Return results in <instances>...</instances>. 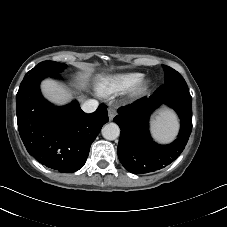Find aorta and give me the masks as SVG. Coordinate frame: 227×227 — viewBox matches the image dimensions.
Segmentation results:
<instances>
[{
  "mask_svg": "<svg viewBox=\"0 0 227 227\" xmlns=\"http://www.w3.org/2000/svg\"><path fill=\"white\" fill-rule=\"evenodd\" d=\"M101 132L105 139L115 140L120 135V128L116 123H108L103 126Z\"/></svg>",
  "mask_w": 227,
  "mask_h": 227,
  "instance_id": "aorta-1",
  "label": "aorta"
}]
</instances>
